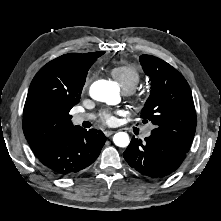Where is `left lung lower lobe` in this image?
Returning a JSON list of instances; mask_svg holds the SVG:
<instances>
[{
	"label": "left lung lower lobe",
	"instance_id": "obj_1",
	"mask_svg": "<svg viewBox=\"0 0 221 221\" xmlns=\"http://www.w3.org/2000/svg\"><path fill=\"white\" fill-rule=\"evenodd\" d=\"M186 154L164 139L150 135L145 142L132 138L123 156L129 166L141 175L160 179L176 171Z\"/></svg>",
	"mask_w": 221,
	"mask_h": 221
}]
</instances>
